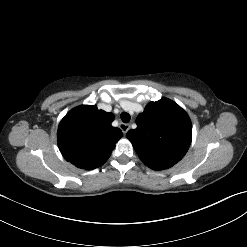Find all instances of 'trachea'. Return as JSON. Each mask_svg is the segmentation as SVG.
<instances>
[{
  "label": "trachea",
  "instance_id": "3493384b",
  "mask_svg": "<svg viewBox=\"0 0 247 247\" xmlns=\"http://www.w3.org/2000/svg\"><path fill=\"white\" fill-rule=\"evenodd\" d=\"M131 117L128 113L126 112H123L121 114V120L124 122V123H128L130 121Z\"/></svg>",
  "mask_w": 247,
  "mask_h": 247
}]
</instances>
